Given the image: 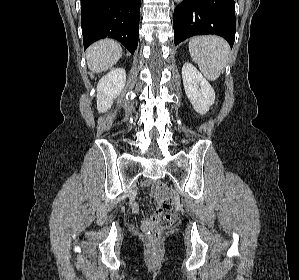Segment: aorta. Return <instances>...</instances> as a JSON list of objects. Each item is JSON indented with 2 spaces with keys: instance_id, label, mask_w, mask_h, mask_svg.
I'll use <instances>...</instances> for the list:
<instances>
[{
  "instance_id": "obj_1",
  "label": "aorta",
  "mask_w": 299,
  "mask_h": 280,
  "mask_svg": "<svg viewBox=\"0 0 299 280\" xmlns=\"http://www.w3.org/2000/svg\"><path fill=\"white\" fill-rule=\"evenodd\" d=\"M183 0H175L176 3H181Z\"/></svg>"
}]
</instances>
